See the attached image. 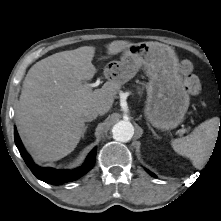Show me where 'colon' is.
Returning a JSON list of instances; mask_svg holds the SVG:
<instances>
[{"mask_svg": "<svg viewBox=\"0 0 221 221\" xmlns=\"http://www.w3.org/2000/svg\"><path fill=\"white\" fill-rule=\"evenodd\" d=\"M180 72L183 75L186 90L196 95L200 92L201 83L197 75L193 73V64L188 59H183L180 63Z\"/></svg>", "mask_w": 221, "mask_h": 221, "instance_id": "1", "label": "colon"}]
</instances>
